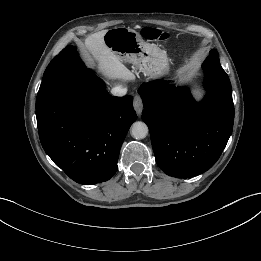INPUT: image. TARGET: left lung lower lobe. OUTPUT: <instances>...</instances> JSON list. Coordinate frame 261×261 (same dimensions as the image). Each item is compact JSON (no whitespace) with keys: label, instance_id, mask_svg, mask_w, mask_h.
<instances>
[{"label":"left lung lower lobe","instance_id":"1","mask_svg":"<svg viewBox=\"0 0 261 261\" xmlns=\"http://www.w3.org/2000/svg\"><path fill=\"white\" fill-rule=\"evenodd\" d=\"M207 95L196 102L188 88L164 81L142 84V119L148 125L156 163L169 176L189 178L210 169L232 133L234 105L219 59L202 65Z\"/></svg>","mask_w":261,"mask_h":261}]
</instances>
